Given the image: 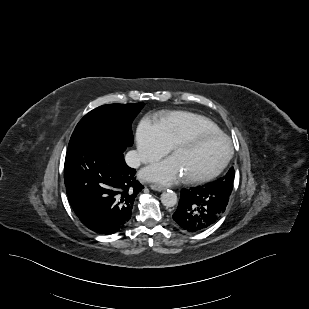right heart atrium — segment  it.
Segmentation results:
<instances>
[{
    "label": "right heart atrium",
    "mask_w": 309,
    "mask_h": 309,
    "mask_svg": "<svg viewBox=\"0 0 309 309\" xmlns=\"http://www.w3.org/2000/svg\"><path fill=\"white\" fill-rule=\"evenodd\" d=\"M137 157L141 163L154 162L170 150L168 142L157 123L148 118L142 119L136 129Z\"/></svg>",
    "instance_id": "d8ad5b80"
}]
</instances>
